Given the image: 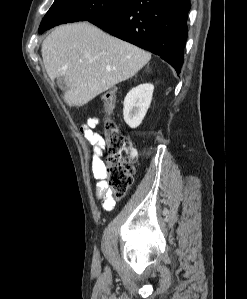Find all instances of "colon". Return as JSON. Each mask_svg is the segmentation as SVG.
<instances>
[{
  "label": "colon",
  "mask_w": 247,
  "mask_h": 299,
  "mask_svg": "<svg viewBox=\"0 0 247 299\" xmlns=\"http://www.w3.org/2000/svg\"><path fill=\"white\" fill-rule=\"evenodd\" d=\"M106 117L103 124L105 158L103 179L111 194L123 197L133 184L137 150L131 139L123 134L111 118L115 107L116 94L113 90L103 95Z\"/></svg>",
  "instance_id": "1"
}]
</instances>
